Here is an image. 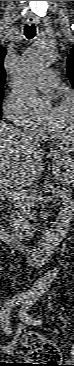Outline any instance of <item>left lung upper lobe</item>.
Wrapping results in <instances>:
<instances>
[{
    "label": "left lung upper lobe",
    "instance_id": "left-lung-upper-lobe-1",
    "mask_svg": "<svg viewBox=\"0 0 74 366\" xmlns=\"http://www.w3.org/2000/svg\"><path fill=\"white\" fill-rule=\"evenodd\" d=\"M68 64V76L72 83V86L74 87V47L70 50V56L67 60Z\"/></svg>",
    "mask_w": 74,
    "mask_h": 366
}]
</instances>
